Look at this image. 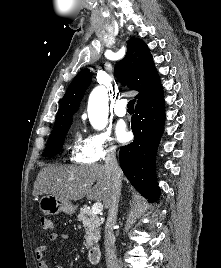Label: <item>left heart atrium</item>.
Masks as SVG:
<instances>
[{"mask_svg":"<svg viewBox=\"0 0 221 268\" xmlns=\"http://www.w3.org/2000/svg\"><path fill=\"white\" fill-rule=\"evenodd\" d=\"M116 137L120 142H126L129 139V132L124 123H118L115 128Z\"/></svg>","mask_w":221,"mask_h":268,"instance_id":"left-heart-atrium-1","label":"left heart atrium"}]
</instances>
